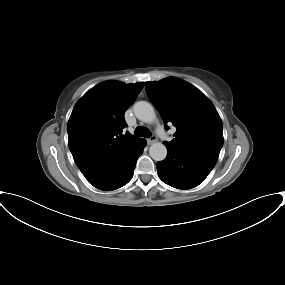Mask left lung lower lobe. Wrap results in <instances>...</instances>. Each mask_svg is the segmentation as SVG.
<instances>
[{"mask_svg": "<svg viewBox=\"0 0 285 285\" xmlns=\"http://www.w3.org/2000/svg\"><path fill=\"white\" fill-rule=\"evenodd\" d=\"M167 150V157L157 163V171L160 179L174 188L196 187L208 176L216 164L171 147H167Z\"/></svg>", "mask_w": 285, "mask_h": 285, "instance_id": "left-lung-lower-lobe-1", "label": "left lung lower lobe"}]
</instances>
